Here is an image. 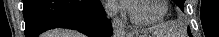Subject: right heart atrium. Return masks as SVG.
I'll return each instance as SVG.
<instances>
[{
    "label": "right heart atrium",
    "mask_w": 219,
    "mask_h": 37,
    "mask_svg": "<svg viewBox=\"0 0 219 37\" xmlns=\"http://www.w3.org/2000/svg\"><path fill=\"white\" fill-rule=\"evenodd\" d=\"M107 7H108V10H109L110 12H112V11H114V10L116 9V6H115L114 3H109V4H107Z\"/></svg>",
    "instance_id": "obj_1"
}]
</instances>
